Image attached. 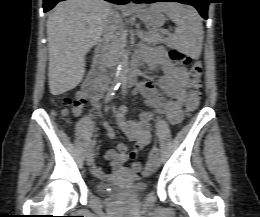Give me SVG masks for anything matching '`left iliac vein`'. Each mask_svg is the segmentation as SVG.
<instances>
[{
  "instance_id": "1",
  "label": "left iliac vein",
  "mask_w": 260,
  "mask_h": 217,
  "mask_svg": "<svg viewBox=\"0 0 260 217\" xmlns=\"http://www.w3.org/2000/svg\"><path fill=\"white\" fill-rule=\"evenodd\" d=\"M149 161H150V166L152 168H158L160 166V157L156 153L151 154Z\"/></svg>"
}]
</instances>
